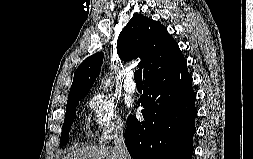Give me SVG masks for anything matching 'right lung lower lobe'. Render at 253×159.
<instances>
[{
    "label": "right lung lower lobe",
    "mask_w": 253,
    "mask_h": 159,
    "mask_svg": "<svg viewBox=\"0 0 253 159\" xmlns=\"http://www.w3.org/2000/svg\"><path fill=\"white\" fill-rule=\"evenodd\" d=\"M196 94L187 62L172 73L144 81L138 103L144 121L129 115L125 142L133 159H192Z\"/></svg>",
    "instance_id": "1"
}]
</instances>
